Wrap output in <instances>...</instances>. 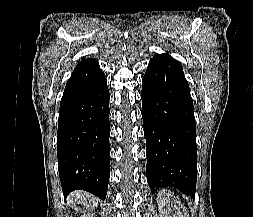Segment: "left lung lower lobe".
<instances>
[{"mask_svg": "<svg viewBox=\"0 0 253 217\" xmlns=\"http://www.w3.org/2000/svg\"><path fill=\"white\" fill-rule=\"evenodd\" d=\"M141 99L151 191L170 186L194 197L196 127L181 64L168 54H156L142 79Z\"/></svg>", "mask_w": 253, "mask_h": 217, "instance_id": "1", "label": "left lung lower lobe"}]
</instances>
